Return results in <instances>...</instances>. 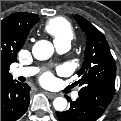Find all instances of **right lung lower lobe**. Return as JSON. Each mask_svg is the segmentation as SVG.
I'll return each instance as SVG.
<instances>
[{
	"label": "right lung lower lobe",
	"instance_id": "right-lung-lower-lobe-1",
	"mask_svg": "<svg viewBox=\"0 0 121 121\" xmlns=\"http://www.w3.org/2000/svg\"><path fill=\"white\" fill-rule=\"evenodd\" d=\"M29 90L27 84L13 78L1 81V121H15L26 112L30 102Z\"/></svg>",
	"mask_w": 121,
	"mask_h": 121
}]
</instances>
